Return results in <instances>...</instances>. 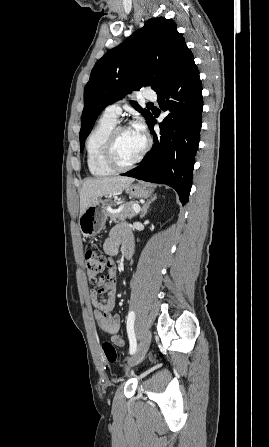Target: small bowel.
<instances>
[{
	"label": "small bowel",
	"mask_w": 269,
	"mask_h": 447,
	"mask_svg": "<svg viewBox=\"0 0 269 447\" xmlns=\"http://www.w3.org/2000/svg\"><path fill=\"white\" fill-rule=\"evenodd\" d=\"M122 247L124 252L133 250V239L125 225L113 227L106 238L103 249L109 255H115ZM116 289V271L110 266L104 275L100 286L89 293L94 308V318L99 328L111 337L113 343L119 347L124 346V340L119 336L121 320L119 315L112 313L115 303L114 291Z\"/></svg>",
	"instance_id": "1"
}]
</instances>
